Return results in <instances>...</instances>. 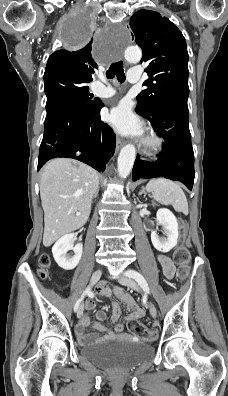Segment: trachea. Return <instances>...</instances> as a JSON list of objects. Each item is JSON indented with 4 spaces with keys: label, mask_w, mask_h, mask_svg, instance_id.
Instances as JSON below:
<instances>
[{
    "label": "trachea",
    "mask_w": 228,
    "mask_h": 396,
    "mask_svg": "<svg viewBox=\"0 0 228 396\" xmlns=\"http://www.w3.org/2000/svg\"><path fill=\"white\" fill-rule=\"evenodd\" d=\"M117 77V80L120 83L125 82V73H124V68H123V62L118 61L115 63H112L109 67V69L106 72V77L108 79H113L114 77Z\"/></svg>",
    "instance_id": "obj_1"
}]
</instances>
